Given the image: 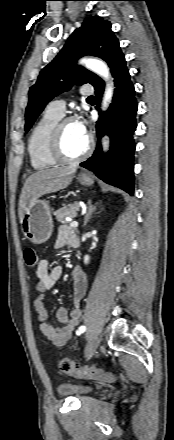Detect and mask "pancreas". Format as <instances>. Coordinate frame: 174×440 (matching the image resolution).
I'll list each match as a JSON object with an SVG mask.
<instances>
[{
	"label": "pancreas",
	"mask_w": 174,
	"mask_h": 440,
	"mask_svg": "<svg viewBox=\"0 0 174 440\" xmlns=\"http://www.w3.org/2000/svg\"><path fill=\"white\" fill-rule=\"evenodd\" d=\"M79 211V205L77 203L68 205L66 207L60 208L59 210H57L54 215L57 219L58 222L62 223V224H67V220L65 219L66 217H76L77 213Z\"/></svg>",
	"instance_id": "1"
}]
</instances>
